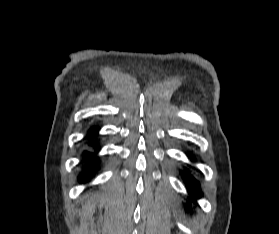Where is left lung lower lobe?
I'll return each mask as SVG.
<instances>
[{
    "label": "left lung lower lobe",
    "instance_id": "0a47b994",
    "mask_svg": "<svg viewBox=\"0 0 279 234\" xmlns=\"http://www.w3.org/2000/svg\"><path fill=\"white\" fill-rule=\"evenodd\" d=\"M183 177L186 181L190 194L193 196H199L200 189L198 183L189 174L183 173Z\"/></svg>",
    "mask_w": 279,
    "mask_h": 234
}]
</instances>
